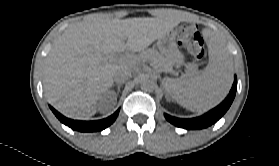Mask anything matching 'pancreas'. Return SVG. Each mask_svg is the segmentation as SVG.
I'll use <instances>...</instances> for the list:
<instances>
[{"label":"pancreas","mask_w":279,"mask_h":166,"mask_svg":"<svg viewBox=\"0 0 279 166\" xmlns=\"http://www.w3.org/2000/svg\"><path fill=\"white\" fill-rule=\"evenodd\" d=\"M140 57L145 61L151 62L158 70H167L170 68L169 60L164 58L157 50L147 49L141 53Z\"/></svg>","instance_id":"obj_1"}]
</instances>
